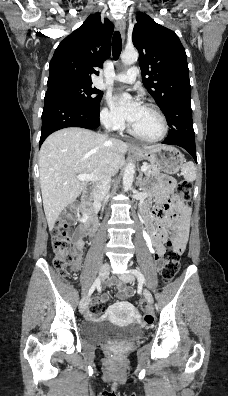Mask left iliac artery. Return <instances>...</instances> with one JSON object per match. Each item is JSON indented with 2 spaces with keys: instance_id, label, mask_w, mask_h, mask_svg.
Instances as JSON below:
<instances>
[{
  "instance_id": "left-iliac-artery-1",
  "label": "left iliac artery",
  "mask_w": 228,
  "mask_h": 396,
  "mask_svg": "<svg viewBox=\"0 0 228 396\" xmlns=\"http://www.w3.org/2000/svg\"><path fill=\"white\" fill-rule=\"evenodd\" d=\"M132 273L137 277L138 281H139L141 284H144V283H145L144 275H143L139 270L134 269V270H132Z\"/></svg>"
}]
</instances>
